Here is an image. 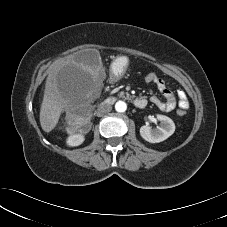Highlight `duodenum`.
Segmentation results:
<instances>
[{
    "mask_svg": "<svg viewBox=\"0 0 227 227\" xmlns=\"http://www.w3.org/2000/svg\"><path fill=\"white\" fill-rule=\"evenodd\" d=\"M132 102L137 108H144L147 105V100L143 97H135L132 99ZM113 103L114 99H108L105 101L106 105H111Z\"/></svg>",
    "mask_w": 227,
    "mask_h": 227,
    "instance_id": "duodenum-1",
    "label": "duodenum"
}]
</instances>
